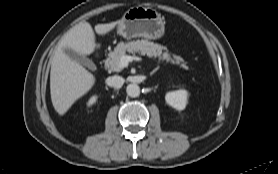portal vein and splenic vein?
Returning a JSON list of instances; mask_svg holds the SVG:
<instances>
[{
  "mask_svg": "<svg viewBox=\"0 0 278 174\" xmlns=\"http://www.w3.org/2000/svg\"><path fill=\"white\" fill-rule=\"evenodd\" d=\"M133 60V57L128 56V55H123L120 58V65L122 68L127 67L129 65V62Z\"/></svg>",
  "mask_w": 278,
  "mask_h": 174,
  "instance_id": "portal-vein-and-splenic-vein-1",
  "label": "portal vein and splenic vein"
}]
</instances>
